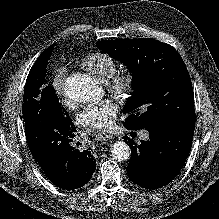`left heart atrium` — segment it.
Instances as JSON below:
<instances>
[{
    "mask_svg": "<svg viewBox=\"0 0 219 219\" xmlns=\"http://www.w3.org/2000/svg\"><path fill=\"white\" fill-rule=\"evenodd\" d=\"M118 113V104L111 99L86 106L77 116L78 123L86 128H107Z\"/></svg>",
    "mask_w": 219,
    "mask_h": 219,
    "instance_id": "39dd6f15",
    "label": "left heart atrium"
}]
</instances>
